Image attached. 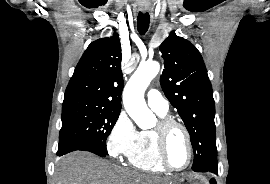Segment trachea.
Segmentation results:
<instances>
[{"label": "trachea", "mask_w": 270, "mask_h": 184, "mask_svg": "<svg viewBox=\"0 0 270 184\" xmlns=\"http://www.w3.org/2000/svg\"><path fill=\"white\" fill-rule=\"evenodd\" d=\"M137 22V29L139 33L141 35H144L147 32L150 23V15L148 14V12H139Z\"/></svg>", "instance_id": "3493384b"}]
</instances>
